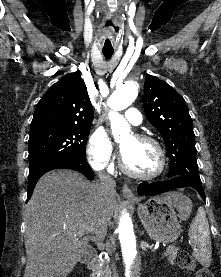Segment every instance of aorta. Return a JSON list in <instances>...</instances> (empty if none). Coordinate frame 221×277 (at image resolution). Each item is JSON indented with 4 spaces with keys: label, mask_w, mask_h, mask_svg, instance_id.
<instances>
[{
    "label": "aorta",
    "mask_w": 221,
    "mask_h": 277,
    "mask_svg": "<svg viewBox=\"0 0 221 277\" xmlns=\"http://www.w3.org/2000/svg\"><path fill=\"white\" fill-rule=\"evenodd\" d=\"M137 91V82L128 80L118 86L107 101V105L112 109L108 115L115 139L128 136L130 133V125L118 111L126 109L133 103L137 96ZM115 234L118 238L120 252L125 265V276L137 277L141 257L133 222L126 211L121 213L115 225Z\"/></svg>",
    "instance_id": "762f6f07"
}]
</instances>
